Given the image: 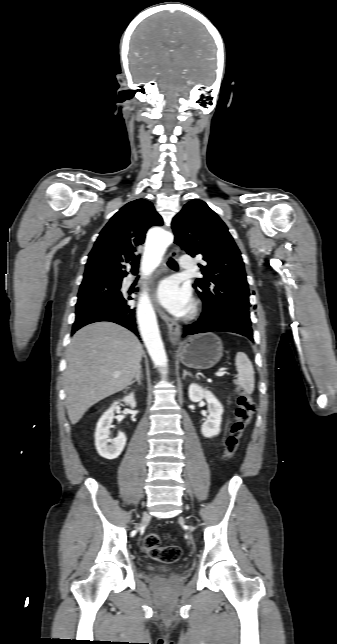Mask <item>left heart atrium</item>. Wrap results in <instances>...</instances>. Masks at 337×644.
I'll use <instances>...</instances> for the list:
<instances>
[{
  "mask_svg": "<svg viewBox=\"0 0 337 644\" xmlns=\"http://www.w3.org/2000/svg\"><path fill=\"white\" fill-rule=\"evenodd\" d=\"M157 298L164 307L177 315L187 313L192 304L189 288L179 286L173 278L165 279L160 283Z\"/></svg>",
  "mask_w": 337,
  "mask_h": 644,
  "instance_id": "39dd6f15",
  "label": "left heart atrium"
}]
</instances>
